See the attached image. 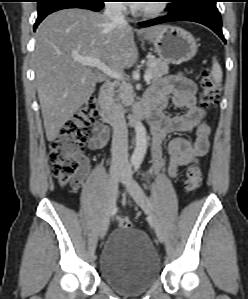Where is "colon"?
<instances>
[{"label":"colon","instance_id":"colon-1","mask_svg":"<svg viewBox=\"0 0 248 299\" xmlns=\"http://www.w3.org/2000/svg\"><path fill=\"white\" fill-rule=\"evenodd\" d=\"M220 94L219 86L212 78L211 71L204 69L201 78L199 103L202 108L215 106ZM98 107L94 98L81 105L74 115L64 124L59 135L51 142L50 160L52 174L61 186H77L84 176L81 169V151L88 138L87 126L97 116ZM202 170L197 162L191 164L185 175L186 192L195 191L201 184ZM122 229L132 227L126 216L118 218Z\"/></svg>","mask_w":248,"mask_h":299}]
</instances>
